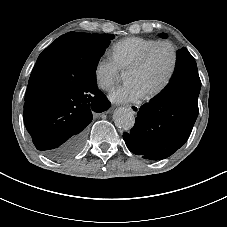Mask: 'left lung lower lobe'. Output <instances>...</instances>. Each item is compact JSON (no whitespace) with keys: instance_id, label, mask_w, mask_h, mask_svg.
<instances>
[{"instance_id":"0a47b994","label":"left lung lower lobe","mask_w":227,"mask_h":227,"mask_svg":"<svg viewBox=\"0 0 227 227\" xmlns=\"http://www.w3.org/2000/svg\"><path fill=\"white\" fill-rule=\"evenodd\" d=\"M200 88L194 58L186 48L178 50L168 85L141 106L134 127L123 134L128 149L145 159L160 160L182 147L198 116Z\"/></svg>"}]
</instances>
